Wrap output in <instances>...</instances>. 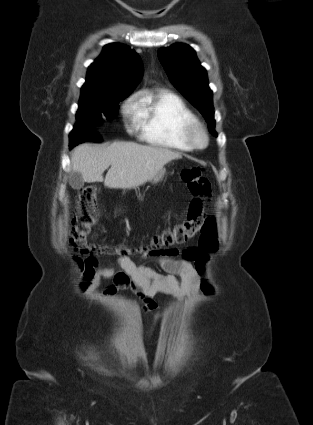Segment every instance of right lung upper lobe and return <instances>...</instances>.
<instances>
[{
  "instance_id": "1",
  "label": "right lung upper lobe",
  "mask_w": 313,
  "mask_h": 425,
  "mask_svg": "<svg viewBox=\"0 0 313 425\" xmlns=\"http://www.w3.org/2000/svg\"><path fill=\"white\" fill-rule=\"evenodd\" d=\"M142 73V61L134 50L119 43L108 44L88 68L80 101L114 93L129 95L140 81Z\"/></svg>"
}]
</instances>
